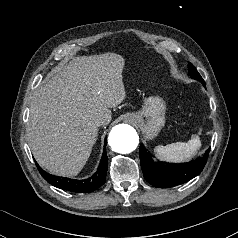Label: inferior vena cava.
Here are the masks:
<instances>
[{
	"instance_id": "obj_1",
	"label": "inferior vena cava",
	"mask_w": 238,
	"mask_h": 238,
	"mask_svg": "<svg viewBox=\"0 0 238 238\" xmlns=\"http://www.w3.org/2000/svg\"><path fill=\"white\" fill-rule=\"evenodd\" d=\"M105 124H106V121H105V120L100 119V120L97 121V125H98V126H100V125H105Z\"/></svg>"
}]
</instances>
